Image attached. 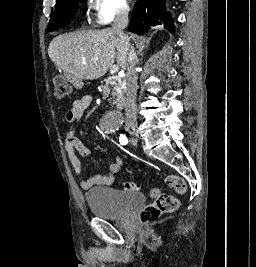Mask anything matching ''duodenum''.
<instances>
[{"label":"duodenum","instance_id":"duodenum-1","mask_svg":"<svg viewBox=\"0 0 256 267\" xmlns=\"http://www.w3.org/2000/svg\"><path fill=\"white\" fill-rule=\"evenodd\" d=\"M67 82H70L72 86H76V88H85L84 81H80V77H73V74H66ZM117 107L120 111H125L126 102L123 99L117 100Z\"/></svg>","mask_w":256,"mask_h":267}]
</instances>
